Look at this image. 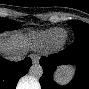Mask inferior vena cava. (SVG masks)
<instances>
[{
  "label": "inferior vena cava",
  "mask_w": 89,
  "mask_h": 89,
  "mask_svg": "<svg viewBox=\"0 0 89 89\" xmlns=\"http://www.w3.org/2000/svg\"><path fill=\"white\" fill-rule=\"evenodd\" d=\"M25 56V52L24 51H11L7 57L8 59L12 60V61H19L21 59H23V57Z\"/></svg>",
  "instance_id": "1"
}]
</instances>
